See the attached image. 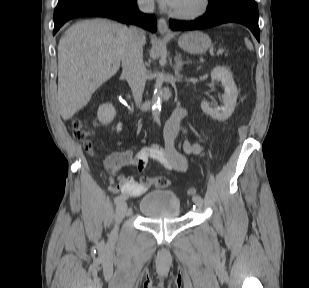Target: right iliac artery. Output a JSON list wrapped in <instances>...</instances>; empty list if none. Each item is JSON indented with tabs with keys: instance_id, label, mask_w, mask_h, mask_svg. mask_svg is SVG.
Here are the masks:
<instances>
[{
	"instance_id": "right-iliac-artery-1",
	"label": "right iliac artery",
	"mask_w": 309,
	"mask_h": 288,
	"mask_svg": "<svg viewBox=\"0 0 309 288\" xmlns=\"http://www.w3.org/2000/svg\"><path fill=\"white\" fill-rule=\"evenodd\" d=\"M129 196V195H127ZM120 200H126V195H125V192H120V195H118L114 201L115 203H118Z\"/></svg>"
}]
</instances>
